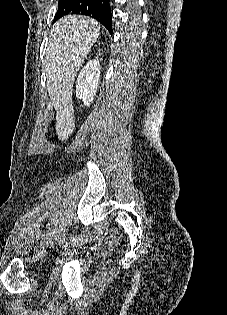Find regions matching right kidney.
I'll list each match as a JSON object with an SVG mask.
<instances>
[{"instance_id":"1","label":"right kidney","mask_w":227,"mask_h":315,"mask_svg":"<svg viewBox=\"0 0 227 315\" xmlns=\"http://www.w3.org/2000/svg\"><path fill=\"white\" fill-rule=\"evenodd\" d=\"M100 64L94 59L89 61L80 71L77 78L76 97L86 106H90L96 95L100 80Z\"/></svg>"}]
</instances>
